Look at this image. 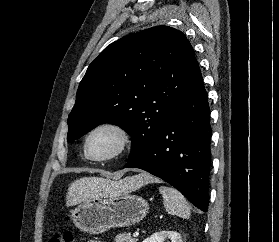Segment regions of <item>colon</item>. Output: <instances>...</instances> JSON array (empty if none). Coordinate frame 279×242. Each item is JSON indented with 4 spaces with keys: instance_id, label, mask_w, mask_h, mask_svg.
<instances>
[{
    "instance_id": "5ec220e1",
    "label": "colon",
    "mask_w": 279,
    "mask_h": 242,
    "mask_svg": "<svg viewBox=\"0 0 279 242\" xmlns=\"http://www.w3.org/2000/svg\"><path fill=\"white\" fill-rule=\"evenodd\" d=\"M48 242H74V235L71 231L57 233Z\"/></svg>"
}]
</instances>
